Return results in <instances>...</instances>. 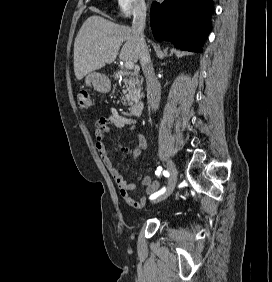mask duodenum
<instances>
[{
  "label": "duodenum",
  "instance_id": "obj_1",
  "mask_svg": "<svg viewBox=\"0 0 272 282\" xmlns=\"http://www.w3.org/2000/svg\"><path fill=\"white\" fill-rule=\"evenodd\" d=\"M128 74L135 76L137 78L140 76L138 69L131 70L128 72ZM143 108H144V103L139 98L130 105L128 111L126 112V117L133 118V117L141 115Z\"/></svg>",
  "mask_w": 272,
  "mask_h": 282
}]
</instances>
